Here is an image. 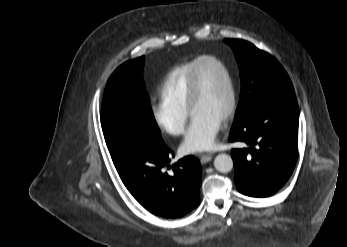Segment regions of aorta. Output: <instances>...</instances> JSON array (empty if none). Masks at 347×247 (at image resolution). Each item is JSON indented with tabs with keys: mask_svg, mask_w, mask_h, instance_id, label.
Returning a JSON list of instances; mask_svg holds the SVG:
<instances>
[{
	"mask_svg": "<svg viewBox=\"0 0 347 247\" xmlns=\"http://www.w3.org/2000/svg\"><path fill=\"white\" fill-rule=\"evenodd\" d=\"M214 166L221 173H228L233 169V160L227 154H219L214 159Z\"/></svg>",
	"mask_w": 347,
	"mask_h": 247,
	"instance_id": "1",
	"label": "aorta"
}]
</instances>
